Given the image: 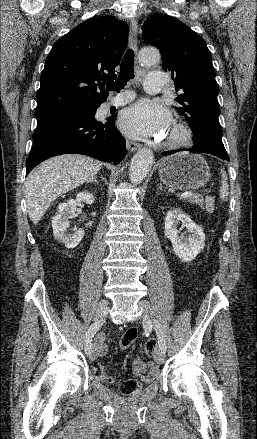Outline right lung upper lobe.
<instances>
[{
    "instance_id": "1",
    "label": "right lung upper lobe",
    "mask_w": 257,
    "mask_h": 439,
    "mask_svg": "<svg viewBox=\"0 0 257 439\" xmlns=\"http://www.w3.org/2000/svg\"><path fill=\"white\" fill-rule=\"evenodd\" d=\"M127 42L128 26L111 16L90 18L57 40L41 75L36 118L105 102L104 82L116 78Z\"/></svg>"
}]
</instances>
